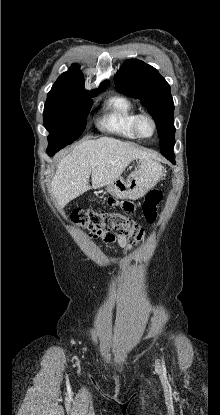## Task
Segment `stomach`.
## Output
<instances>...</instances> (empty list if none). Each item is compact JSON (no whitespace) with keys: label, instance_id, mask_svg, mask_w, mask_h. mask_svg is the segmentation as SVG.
<instances>
[{"label":"stomach","instance_id":"stomach-1","mask_svg":"<svg viewBox=\"0 0 220 415\" xmlns=\"http://www.w3.org/2000/svg\"><path fill=\"white\" fill-rule=\"evenodd\" d=\"M163 176V166L153 159H141L137 169L126 179L119 177L107 185V191L118 199L136 200L144 196Z\"/></svg>","mask_w":220,"mask_h":415}]
</instances>
